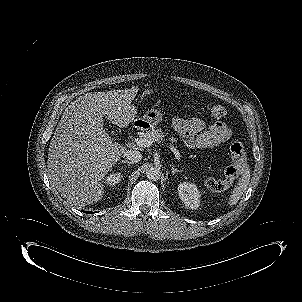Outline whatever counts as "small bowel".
<instances>
[{
    "mask_svg": "<svg viewBox=\"0 0 302 302\" xmlns=\"http://www.w3.org/2000/svg\"><path fill=\"white\" fill-rule=\"evenodd\" d=\"M172 126L180 135L187 147L207 149L225 143L231 136V129L222 122L216 121L209 126L199 118H174Z\"/></svg>",
    "mask_w": 302,
    "mask_h": 302,
    "instance_id": "c3829d8e",
    "label": "small bowel"
}]
</instances>
